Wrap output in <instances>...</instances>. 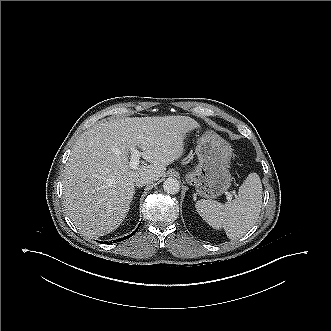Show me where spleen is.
Listing matches in <instances>:
<instances>
[{"label":"spleen","instance_id":"spleen-1","mask_svg":"<svg viewBox=\"0 0 331 331\" xmlns=\"http://www.w3.org/2000/svg\"><path fill=\"white\" fill-rule=\"evenodd\" d=\"M262 200V184L251 173L239 188L238 198L225 204L215 200L196 202L198 214L214 229H224L229 239H238L253 226Z\"/></svg>","mask_w":331,"mask_h":331}]
</instances>
